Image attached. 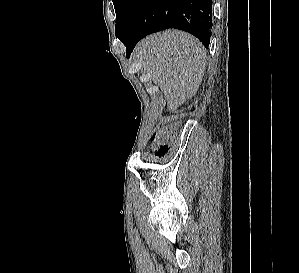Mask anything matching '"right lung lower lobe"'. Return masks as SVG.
I'll return each mask as SVG.
<instances>
[{"label":"right lung lower lobe","instance_id":"1","mask_svg":"<svg viewBox=\"0 0 299 273\" xmlns=\"http://www.w3.org/2000/svg\"><path fill=\"white\" fill-rule=\"evenodd\" d=\"M168 28L187 31L208 47L212 0H134L117 37L129 58L140 39Z\"/></svg>","mask_w":299,"mask_h":273}]
</instances>
